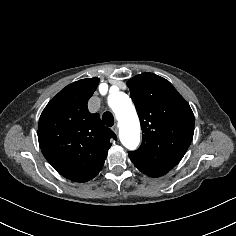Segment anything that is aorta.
I'll return each instance as SVG.
<instances>
[{"mask_svg": "<svg viewBox=\"0 0 236 236\" xmlns=\"http://www.w3.org/2000/svg\"><path fill=\"white\" fill-rule=\"evenodd\" d=\"M108 104L117 117L121 143L129 150L136 149L140 142V123L131 98L123 92L112 93Z\"/></svg>", "mask_w": 236, "mask_h": 236, "instance_id": "obj_1", "label": "aorta"}]
</instances>
